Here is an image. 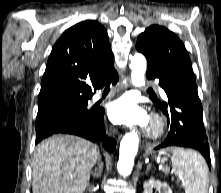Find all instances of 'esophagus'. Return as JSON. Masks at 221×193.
Returning a JSON list of instances; mask_svg holds the SVG:
<instances>
[{
	"instance_id": "esophagus-1",
	"label": "esophagus",
	"mask_w": 221,
	"mask_h": 193,
	"mask_svg": "<svg viewBox=\"0 0 221 193\" xmlns=\"http://www.w3.org/2000/svg\"><path fill=\"white\" fill-rule=\"evenodd\" d=\"M123 87L124 88H128L130 86V78L129 77H125L122 81Z\"/></svg>"
}]
</instances>
